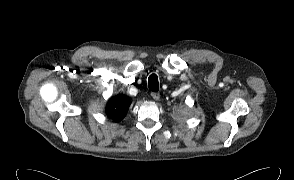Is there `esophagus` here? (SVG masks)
Returning a JSON list of instances; mask_svg holds the SVG:
<instances>
[{"label":"esophagus","instance_id":"1","mask_svg":"<svg viewBox=\"0 0 294 180\" xmlns=\"http://www.w3.org/2000/svg\"><path fill=\"white\" fill-rule=\"evenodd\" d=\"M151 96L156 101L160 99V94L158 92H151Z\"/></svg>","mask_w":294,"mask_h":180}]
</instances>
